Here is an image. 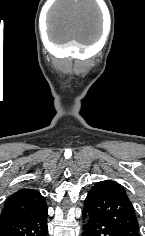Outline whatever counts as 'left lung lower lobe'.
Masks as SVG:
<instances>
[{"instance_id":"obj_1","label":"left lung lower lobe","mask_w":145,"mask_h":236,"mask_svg":"<svg viewBox=\"0 0 145 236\" xmlns=\"http://www.w3.org/2000/svg\"><path fill=\"white\" fill-rule=\"evenodd\" d=\"M86 213H88L89 219L83 236H123L114 226L83 209V217L87 215Z\"/></svg>"}]
</instances>
